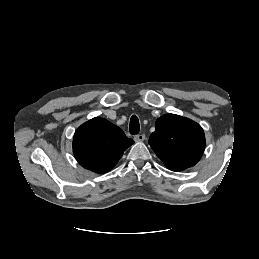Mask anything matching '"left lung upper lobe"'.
Here are the masks:
<instances>
[{
  "label": "left lung upper lobe",
  "mask_w": 259,
  "mask_h": 259,
  "mask_svg": "<svg viewBox=\"0 0 259 259\" xmlns=\"http://www.w3.org/2000/svg\"><path fill=\"white\" fill-rule=\"evenodd\" d=\"M149 144L172 171L194 166L205 149L204 131L196 122L175 114L157 119Z\"/></svg>",
  "instance_id": "left-lung-upper-lobe-1"
}]
</instances>
